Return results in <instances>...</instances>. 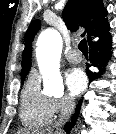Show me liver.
I'll list each match as a JSON object with an SVG mask.
<instances>
[{
    "instance_id": "1",
    "label": "liver",
    "mask_w": 116,
    "mask_h": 134,
    "mask_svg": "<svg viewBox=\"0 0 116 134\" xmlns=\"http://www.w3.org/2000/svg\"><path fill=\"white\" fill-rule=\"evenodd\" d=\"M18 134H35V133H30L29 131H25V132H23V131H20ZM39 134H55L54 132H53V130H51V129H49V130H47V133H45V131H41Z\"/></svg>"
}]
</instances>
